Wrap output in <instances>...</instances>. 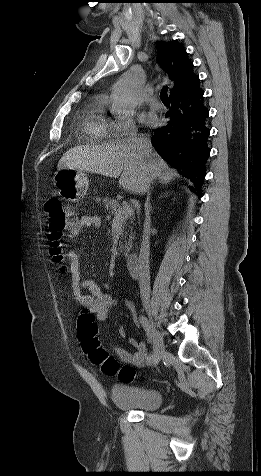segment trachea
<instances>
[{
    "mask_svg": "<svg viewBox=\"0 0 261 476\" xmlns=\"http://www.w3.org/2000/svg\"><path fill=\"white\" fill-rule=\"evenodd\" d=\"M160 98L162 101H169L168 97V87H163V89L160 92Z\"/></svg>",
    "mask_w": 261,
    "mask_h": 476,
    "instance_id": "obj_1",
    "label": "trachea"
}]
</instances>
